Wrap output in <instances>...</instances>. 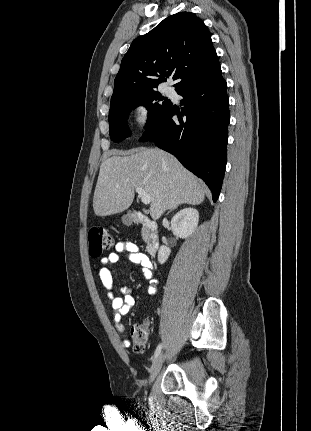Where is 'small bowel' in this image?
Instances as JSON below:
<instances>
[{"label":"small bowel","mask_w":311,"mask_h":431,"mask_svg":"<svg viewBox=\"0 0 311 431\" xmlns=\"http://www.w3.org/2000/svg\"><path fill=\"white\" fill-rule=\"evenodd\" d=\"M121 255H124L131 263L140 266L144 276L151 281V286L149 288L150 294L156 293L157 281L154 279L151 260L147 255L142 253L138 246L133 242H118L115 246V252H112L101 259L100 262L102 267L99 271V277L113 309L112 322L115 327L123 333L125 331V327L121 322V318L123 315H126L134 305L135 294L130 288L123 287L121 288L123 296H117L115 294L113 276L108 268L110 264L118 262ZM122 343L125 347L130 346V341L128 339H124Z\"/></svg>","instance_id":"small-bowel-1"}]
</instances>
